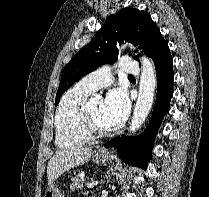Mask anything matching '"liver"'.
Here are the masks:
<instances>
[{"label":"liver","mask_w":209,"mask_h":197,"mask_svg":"<svg viewBox=\"0 0 209 197\" xmlns=\"http://www.w3.org/2000/svg\"><path fill=\"white\" fill-rule=\"evenodd\" d=\"M92 154L90 147H73L58 149L49 160L47 166L48 186L52 185L59 176L74 166L84 164Z\"/></svg>","instance_id":"1"}]
</instances>
